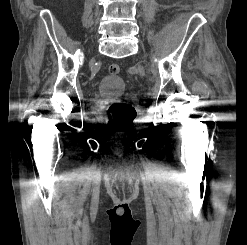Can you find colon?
Here are the masks:
<instances>
[{"label":"colon","instance_id":"1","mask_svg":"<svg viewBox=\"0 0 247 245\" xmlns=\"http://www.w3.org/2000/svg\"><path fill=\"white\" fill-rule=\"evenodd\" d=\"M108 70L110 74L117 75L120 72V67L114 63L109 66ZM134 117V109L125 101L114 104L108 110L111 126L119 130H128Z\"/></svg>","mask_w":247,"mask_h":245}]
</instances>
